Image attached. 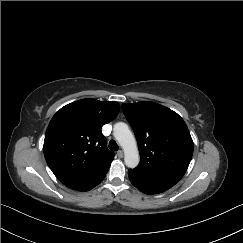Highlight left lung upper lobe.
I'll use <instances>...</instances> for the list:
<instances>
[{"label": "left lung upper lobe", "instance_id": "1", "mask_svg": "<svg viewBox=\"0 0 243 243\" xmlns=\"http://www.w3.org/2000/svg\"><path fill=\"white\" fill-rule=\"evenodd\" d=\"M122 110L135 133L140 153V164L129 172L139 176L186 172L193 141L176 112L150 101L124 103Z\"/></svg>", "mask_w": 243, "mask_h": 243}]
</instances>
